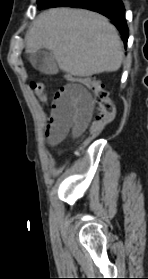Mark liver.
Masks as SVG:
<instances>
[{"label": "liver", "instance_id": "1", "mask_svg": "<svg viewBox=\"0 0 148 279\" xmlns=\"http://www.w3.org/2000/svg\"><path fill=\"white\" fill-rule=\"evenodd\" d=\"M26 40V53L46 49L62 71L79 77L117 71L124 56L108 19L82 9L53 8L41 13Z\"/></svg>", "mask_w": 148, "mask_h": 279}]
</instances>
